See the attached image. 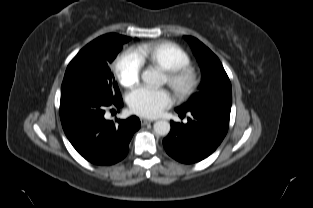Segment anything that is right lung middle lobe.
<instances>
[{"label":"right lung middle lobe","mask_w":313,"mask_h":208,"mask_svg":"<svg viewBox=\"0 0 313 208\" xmlns=\"http://www.w3.org/2000/svg\"><path fill=\"white\" fill-rule=\"evenodd\" d=\"M129 37L110 33L86 45L69 63L62 85L75 83L92 89L108 100L121 94L110 66Z\"/></svg>","instance_id":"1"}]
</instances>
